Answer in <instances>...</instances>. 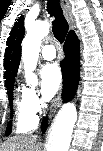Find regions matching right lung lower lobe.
<instances>
[{"label": "right lung lower lobe", "mask_w": 103, "mask_h": 151, "mask_svg": "<svg viewBox=\"0 0 103 151\" xmlns=\"http://www.w3.org/2000/svg\"><path fill=\"white\" fill-rule=\"evenodd\" d=\"M79 49V41L76 36L66 40L64 44L65 59L61 62L64 101L73 98L78 86L80 73ZM46 126L45 118L42 123V131H45Z\"/></svg>", "instance_id": "obj_1"}]
</instances>
